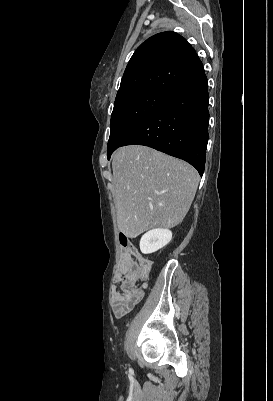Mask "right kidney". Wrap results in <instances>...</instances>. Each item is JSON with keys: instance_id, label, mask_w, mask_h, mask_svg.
Masks as SVG:
<instances>
[{"instance_id": "1", "label": "right kidney", "mask_w": 273, "mask_h": 401, "mask_svg": "<svg viewBox=\"0 0 273 401\" xmlns=\"http://www.w3.org/2000/svg\"><path fill=\"white\" fill-rule=\"evenodd\" d=\"M171 239L172 233L168 229H153V231H148L141 237L140 251L144 255L155 253V251H159V249L168 245Z\"/></svg>"}]
</instances>
